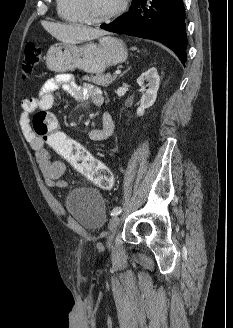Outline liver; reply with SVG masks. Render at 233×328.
<instances>
[{"instance_id": "liver-1", "label": "liver", "mask_w": 233, "mask_h": 328, "mask_svg": "<svg viewBox=\"0 0 233 328\" xmlns=\"http://www.w3.org/2000/svg\"><path fill=\"white\" fill-rule=\"evenodd\" d=\"M42 26L49 34L63 43L77 44L105 35L102 30L82 25H66L44 21Z\"/></svg>"}]
</instances>
